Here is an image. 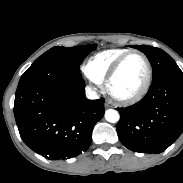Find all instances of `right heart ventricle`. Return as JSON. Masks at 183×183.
<instances>
[{"instance_id": "right-heart-ventricle-1", "label": "right heart ventricle", "mask_w": 183, "mask_h": 183, "mask_svg": "<svg viewBox=\"0 0 183 183\" xmlns=\"http://www.w3.org/2000/svg\"><path fill=\"white\" fill-rule=\"evenodd\" d=\"M127 51L128 49L125 48L103 50L94 54L87 64L91 71L102 80L112 64Z\"/></svg>"}]
</instances>
